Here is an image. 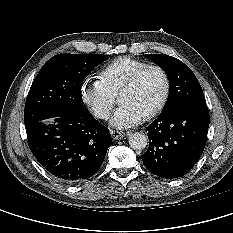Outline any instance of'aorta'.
I'll return each instance as SVG.
<instances>
[{
	"label": "aorta",
	"instance_id": "aorta-1",
	"mask_svg": "<svg viewBox=\"0 0 233 233\" xmlns=\"http://www.w3.org/2000/svg\"><path fill=\"white\" fill-rule=\"evenodd\" d=\"M148 144V138L145 134L135 132L129 137V145L134 150H142Z\"/></svg>",
	"mask_w": 233,
	"mask_h": 233
}]
</instances>
